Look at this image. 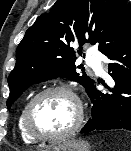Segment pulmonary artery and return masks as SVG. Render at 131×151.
<instances>
[{"label": "pulmonary artery", "mask_w": 131, "mask_h": 151, "mask_svg": "<svg viewBox=\"0 0 131 151\" xmlns=\"http://www.w3.org/2000/svg\"><path fill=\"white\" fill-rule=\"evenodd\" d=\"M86 63L90 66L97 74H103V67L100 62V57L95 51H89L86 55Z\"/></svg>", "instance_id": "pulmonary-artery-1"}]
</instances>
